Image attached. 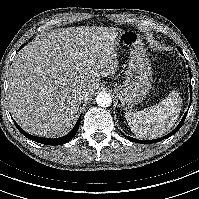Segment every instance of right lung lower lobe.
<instances>
[{
  "instance_id": "1",
  "label": "right lung lower lobe",
  "mask_w": 199,
  "mask_h": 199,
  "mask_svg": "<svg viewBox=\"0 0 199 199\" xmlns=\"http://www.w3.org/2000/svg\"><path fill=\"white\" fill-rule=\"evenodd\" d=\"M80 118L78 119L77 123L75 124L74 128L70 131V133H68L67 135L60 137V138H55V139H48V138H42V137H36V136H32L28 133H26L25 131H23L19 125L14 121L15 126L17 127V129L28 139L41 143V144H46V145H62L67 143L68 141H70L75 134L78 131L79 125H80Z\"/></svg>"
}]
</instances>
